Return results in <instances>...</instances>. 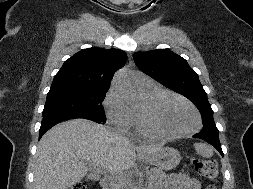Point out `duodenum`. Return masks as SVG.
I'll use <instances>...</instances> for the list:
<instances>
[{"label":"duodenum","mask_w":253,"mask_h":189,"mask_svg":"<svg viewBox=\"0 0 253 189\" xmlns=\"http://www.w3.org/2000/svg\"><path fill=\"white\" fill-rule=\"evenodd\" d=\"M101 185H102V188H103V189H112V188H111V187H112V182H111V179H110V178H104V179L102 180Z\"/></svg>","instance_id":"duodenum-1"}]
</instances>
